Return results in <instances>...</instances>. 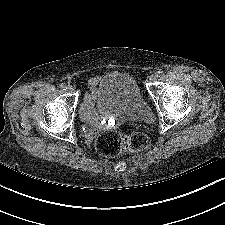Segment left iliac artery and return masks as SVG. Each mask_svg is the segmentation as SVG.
I'll return each instance as SVG.
<instances>
[{
	"instance_id": "obj_1",
	"label": "left iliac artery",
	"mask_w": 225,
	"mask_h": 225,
	"mask_svg": "<svg viewBox=\"0 0 225 225\" xmlns=\"http://www.w3.org/2000/svg\"><path fill=\"white\" fill-rule=\"evenodd\" d=\"M163 76V71H158L156 73V77H162Z\"/></svg>"
}]
</instances>
